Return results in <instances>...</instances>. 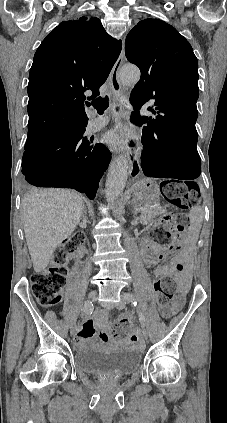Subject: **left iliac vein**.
Segmentation results:
<instances>
[{"label": "left iliac vein", "instance_id": "obj_1", "mask_svg": "<svg viewBox=\"0 0 227 423\" xmlns=\"http://www.w3.org/2000/svg\"><path fill=\"white\" fill-rule=\"evenodd\" d=\"M121 299H122L121 302L117 304V308L120 310H122L125 307V303H126L124 295L121 296ZM148 335H149L148 330L146 328H143L142 337L146 339L148 338Z\"/></svg>", "mask_w": 227, "mask_h": 423}]
</instances>
